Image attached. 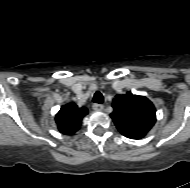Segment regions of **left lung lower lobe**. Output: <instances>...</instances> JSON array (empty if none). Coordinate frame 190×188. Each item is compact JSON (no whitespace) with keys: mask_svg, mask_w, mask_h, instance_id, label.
Returning <instances> with one entry per match:
<instances>
[{"mask_svg":"<svg viewBox=\"0 0 190 188\" xmlns=\"http://www.w3.org/2000/svg\"><path fill=\"white\" fill-rule=\"evenodd\" d=\"M123 135L128 137V138H131V139H141L144 137L142 135L131 133V132H125V133H123Z\"/></svg>","mask_w":190,"mask_h":188,"instance_id":"obj_1","label":"left lung lower lobe"}]
</instances>
